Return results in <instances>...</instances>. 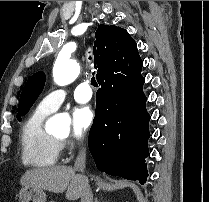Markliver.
<instances>
[{
    "label": "liver",
    "mask_w": 209,
    "mask_h": 202,
    "mask_svg": "<svg viewBox=\"0 0 209 202\" xmlns=\"http://www.w3.org/2000/svg\"><path fill=\"white\" fill-rule=\"evenodd\" d=\"M88 179L69 166H55L48 168L31 169L20 179L23 186L41 188L53 193L66 191L68 200H77L81 197L82 189Z\"/></svg>",
    "instance_id": "6515ba94"
}]
</instances>
